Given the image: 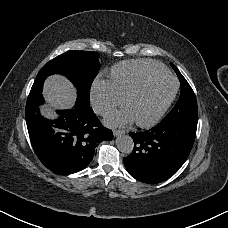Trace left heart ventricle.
I'll list each match as a JSON object with an SVG mask.
<instances>
[{
    "label": "left heart ventricle",
    "instance_id": "obj_1",
    "mask_svg": "<svg viewBox=\"0 0 228 228\" xmlns=\"http://www.w3.org/2000/svg\"><path fill=\"white\" fill-rule=\"evenodd\" d=\"M173 86L170 79H162L151 84L130 102L129 110L137 120L149 121L168 98Z\"/></svg>",
    "mask_w": 228,
    "mask_h": 228
}]
</instances>
